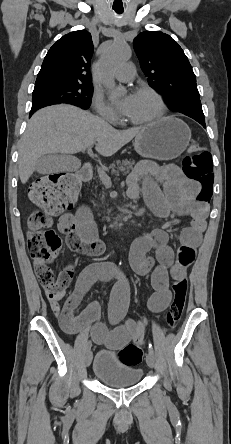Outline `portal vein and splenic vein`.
<instances>
[{
	"label": "portal vein and splenic vein",
	"instance_id": "portal-vein-and-splenic-vein-1",
	"mask_svg": "<svg viewBox=\"0 0 231 444\" xmlns=\"http://www.w3.org/2000/svg\"><path fill=\"white\" fill-rule=\"evenodd\" d=\"M88 152H89V153L92 152L91 147H88ZM97 171H98V175H99V177H100L102 183H103L106 187H111V186H112L111 178L106 174V172H105L103 169H101V168H98ZM123 185H124V183H123Z\"/></svg>",
	"mask_w": 231,
	"mask_h": 444
}]
</instances>
